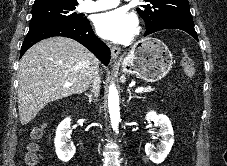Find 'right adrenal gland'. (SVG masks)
<instances>
[{"label": "right adrenal gland", "mask_w": 227, "mask_h": 166, "mask_svg": "<svg viewBox=\"0 0 227 166\" xmlns=\"http://www.w3.org/2000/svg\"><path fill=\"white\" fill-rule=\"evenodd\" d=\"M85 95L88 97V101H89V103L91 104L92 101H93V96H92V94L85 93Z\"/></svg>", "instance_id": "obj_1"}]
</instances>
